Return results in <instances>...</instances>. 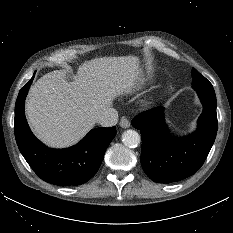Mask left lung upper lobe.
<instances>
[{"label":"left lung upper lobe","mask_w":233,"mask_h":233,"mask_svg":"<svg viewBox=\"0 0 233 233\" xmlns=\"http://www.w3.org/2000/svg\"><path fill=\"white\" fill-rule=\"evenodd\" d=\"M192 84L193 85H205L209 84L210 82L203 76L201 75L196 69L193 68L192 70Z\"/></svg>","instance_id":"left-lung-upper-lobe-1"}]
</instances>
